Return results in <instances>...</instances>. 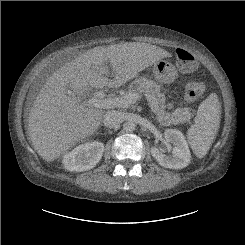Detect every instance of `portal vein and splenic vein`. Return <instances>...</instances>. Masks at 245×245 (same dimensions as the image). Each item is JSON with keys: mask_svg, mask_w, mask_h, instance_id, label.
I'll list each match as a JSON object with an SVG mask.
<instances>
[{"mask_svg": "<svg viewBox=\"0 0 245 245\" xmlns=\"http://www.w3.org/2000/svg\"><path fill=\"white\" fill-rule=\"evenodd\" d=\"M100 72L106 73L107 70L105 68H101ZM103 97L104 94L102 92H98L94 95V97L86 101V105L99 109H110L115 107L127 108L141 98L138 93H129L121 97L108 99H103ZM157 120L159 123L163 124L159 119Z\"/></svg>", "mask_w": 245, "mask_h": 245, "instance_id": "obj_1", "label": "portal vein and splenic vein"}]
</instances>
